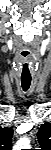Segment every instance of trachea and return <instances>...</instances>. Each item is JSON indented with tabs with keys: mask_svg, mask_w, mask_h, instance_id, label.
Listing matches in <instances>:
<instances>
[{
	"mask_svg": "<svg viewBox=\"0 0 51 150\" xmlns=\"http://www.w3.org/2000/svg\"><path fill=\"white\" fill-rule=\"evenodd\" d=\"M21 84L24 91H27L31 85V78H21Z\"/></svg>",
	"mask_w": 51,
	"mask_h": 150,
	"instance_id": "3493384b",
	"label": "trachea"
}]
</instances>
